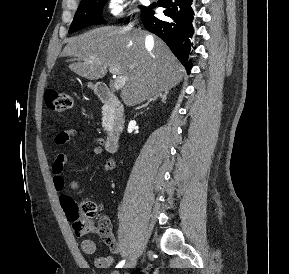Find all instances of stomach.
<instances>
[{"instance_id":"stomach-1","label":"stomach","mask_w":289,"mask_h":274,"mask_svg":"<svg viewBox=\"0 0 289 274\" xmlns=\"http://www.w3.org/2000/svg\"><path fill=\"white\" fill-rule=\"evenodd\" d=\"M88 87H91V88H93V85H92L91 83H89V84H88Z\"/></svg>"}]
</instances>
